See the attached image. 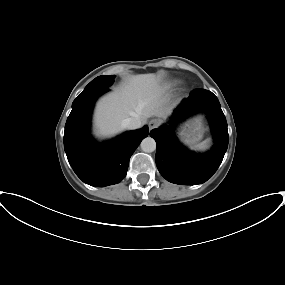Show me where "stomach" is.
Wrapping results in <instances>:
<instances>
[{
    "label": "stomach",
    "mask_w": 285,
    "mask_h": 285,
    "mask_svg": "<svg viewBox=\"0 0 285 285\" xmlns=\"http://www.w3.org/2000/svg\"><path fill=\"white\" fill-rule=\"evenodd\" d=\"M203 126L200 118H195L193 120L185 123L181 130L179 131V136L181 140L188 145H193L199 142L203 136Z\"/></svg>",
    "instance_id": "0dacf381"
}]
</instances>
